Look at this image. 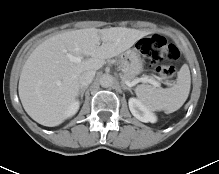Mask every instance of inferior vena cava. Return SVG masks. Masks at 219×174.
<instances>
[{"label":"inferior vena cava","mask_w":219,"mask_h":174,"mask_svg":"<svg viewBox=\"0 0 219 174\" xmlns=\"http://www.w3.org/2000/svg\"><path fill=\"white\" fill-rule=\"evenodd\" d=\"M94 76L95 71L93 70L82 73L79 79L81 87L88 86L93 81Z\"/></svg>","instance_id":"602c4592"}]
</instances>
